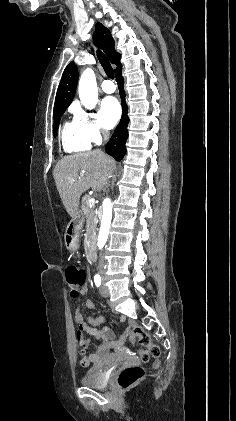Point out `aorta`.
<instances>
[{"label":"aorta","mask_w":236,"mask_h":421,"mask_svg":"<svg viewBox=\"0 0 236 421\" xmlns=\"http://www.w3.org/2000/svg\"><path fill=\"white\" fill-rule=\"evenodd\" d=\"M79 98L86 106V108H94L98 100V86L96 82V76L92 68H86L82 72L78 86ZM103 215L100 227V233L98 237V247L103 249L109 235V229L112 219V202L110 198H104L102 202Z\"/></svg>","instance_id":"obj_1"}]
</instances>
